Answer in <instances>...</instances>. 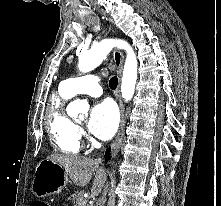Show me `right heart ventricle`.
<instances>
[{"label":"right heart ventricle","instance_id":"1","mask_svg":"<svg viewBox=\"0 0 221 206\" xmlns=\"http://www.w3.org/2000/svg\"><path fill=\"white\" fill-rule=\"evenodd\" d=\"M72 96L62 85L50 98L47 110V130L54 148L66 154H76L80 150V130L65 113L64 105Z\"/></svg>","mask_w":221,"mask_h":206}]
</instances>
